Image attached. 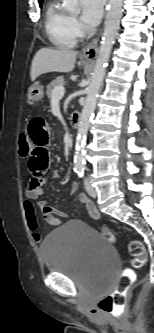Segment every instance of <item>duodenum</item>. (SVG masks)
I'll list each match as a JSON object with an SVG mask.
<instances>
[{"label": "duodenum", "instance_id": "1", "mask_svg": "<svg viewBox=\"0 0 154 333\" xmlns=\"http://www.w3.org/2000/svg\"><path fill=\"white\" fill-rule=\"evenodd\" d=\"M81 122V113L79 111H73L70 117V124L74 129L79 128Z\"/></svg>", "mask_w": 154, "mask_h": 333}]
</instances>
